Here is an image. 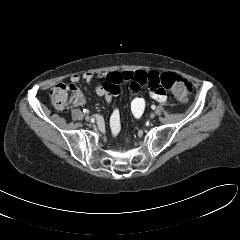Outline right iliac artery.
<instances>
[{
	"mask_svg": "<svg viewBox=\"0 0 240 240\" xmlns=\"http://www.w3.org/2000/svg\"><path fill=\"white\" fill-rule=\"evenodd\" d=\"M83 112H84L85 114H88V113H89V110L84 109Z\"/></svg>",
	"mask_w": 240,
	"mask_h": 240,
	"instance_id": "82829eb1",
	"label": "right iliac artery"
}]
</instances>
